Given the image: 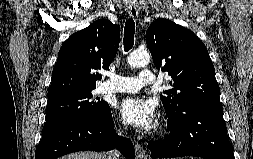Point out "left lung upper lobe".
<instances>
[{"label":"left lung upper lobe","instance_id":"5c2ea615","mask_svg":"<svg viewBox=\"0 0 253 159\" xmlns=\"http://www.w3.org/2000/svg\"><path fill=\"white\" fill-rule=\"evenodd\" d=\"M146 44L157 69L171 76L172 89L160 96L168 119L193 104L221 106L215 69L203 42L187 28L168 19L154 21Z\"/></svg>","mask_w":253,"mask_h":159}]
</instances>
